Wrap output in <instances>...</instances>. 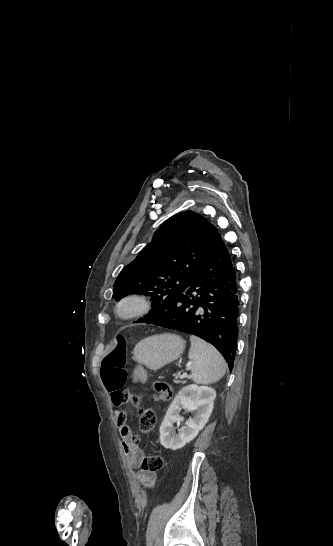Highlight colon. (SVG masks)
<instances>
[{
  "label": "colon",
  "instance_id": "obj_1",
  "mask_svg": "<svg viewBox=\"0 0 333 546\" xmlns=\"http://www.w3.org/2000/svg\"><path fill=\"white\" fill-rule=\"evenodd\" d=\"M126 340L124 336L118 335L110 344L109 351L102 361L100 375L105 388L109 392L122 390L126 379ZM156 399L168 400L172 396L170 385L164 381H154L151 385ZM123 402L130 401L137 410L139 427L143 432L153 430L156 418L150 407H148L143 398L136 394L124 392ZM164 458L159 453H150L142 461V469L148 472H157L164 468Z\"/></svg>",
  "mask_w": 333,
  "mask_h": 546
}]
</instances>
